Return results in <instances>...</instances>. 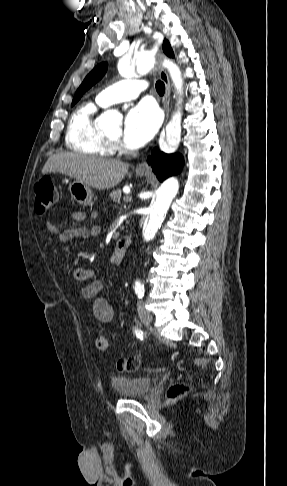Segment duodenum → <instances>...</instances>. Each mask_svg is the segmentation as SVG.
Returning a JSON list of instances; mask_svg holds the SVG:
<instances>
[{
	"mask_svg": "<svg viewBox=\"0 0 287 486\" xmlns=\"http://www.w3.org/2000/svg\"><path fill=\"white\" fill-rule=\"evenodd\" d=\"M130 243L131 237L129 235L120 238L115 246L114 254L118 257H123Z\"/></svg>",
	"mask_w": 287,
	"mask_h": 486,
	"instance_id": "obj_1",
	"label": "duodenum"
}]
</instances>
